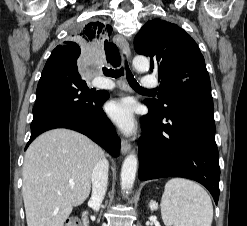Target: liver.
<instances>
[{
    "instance_id": "1",
    "label": "liver",
    "mask_w": 247,
    "mask_h": 226,
    "mask_svg": "<svg viewBox=\"0 0 247 226\" xmlns=\"http://www.w3.org/2000/svg\"><path fill=\"white\" fill-rule=\"evenodd\" d=\"M102 149L69 129L48 131L28 147L22 194L27 226H64L73 207L91 191V176Z\"/></svg>"
}]
</instances>
